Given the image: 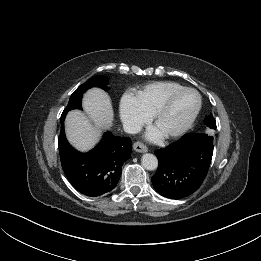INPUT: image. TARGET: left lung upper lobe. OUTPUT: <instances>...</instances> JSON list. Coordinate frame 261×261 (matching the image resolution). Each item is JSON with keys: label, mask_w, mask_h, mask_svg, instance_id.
<instances>
[{"label": "left lung upper lobe", "mask_w": 261, "mask_h": 261, "mask_svg": "<svg viewBox=\"0 0 261 261\" xmlns=\"http://www.w3.org/2000/svg\"><path fill=\"white\" fill-rule=\"evenodd\" d=\"M204 123L206 126H208L210 129H216V121L213 118L212 114L209 116H206L204 119ZM213 139V136H210Z\"/></svg>", "instance_id": "5c2ea615"}]
</instances>
